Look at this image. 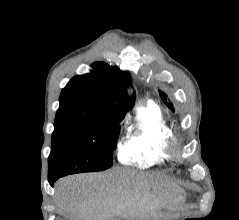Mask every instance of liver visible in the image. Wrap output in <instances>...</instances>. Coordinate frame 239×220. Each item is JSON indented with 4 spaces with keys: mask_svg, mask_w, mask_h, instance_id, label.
<instances>
[{
    "mask_svg": "<svg viewBox=\"0 0 239 220\" xmlns=\"http://www.w3.org/2000/svg\"><path fill=\"white\" fill-rule=\"evenodd\" d=\"M184 197L181 187L164 178L118 168L60 179L54 202L58 211L72 220H143L147 213Z\"/></svg>",
    "mask_w": 239,
    "mask_h": 220,
    "instance_id": "liver-1",
    "label": "liver"
}]
</instances>
